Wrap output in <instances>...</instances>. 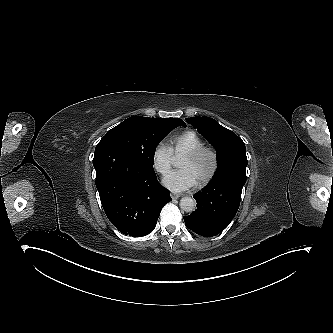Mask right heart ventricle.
<instances>
[{
    "mask_svg": "<svg viewBox=\"0 0 333 333\" xmlns=\"http://www.w3.org/2000/svg\"><path fill=\"white\" fill-rule=\"evenodd\" d=\"M202 147V141L194 132H185L172 143V152L177 160H181L188 153Z\"/></svg>",
    "mask_w": 333,
    "mask_h": 333,
    "instance_id": "obj_1",
    "label": "right heart ventricle"
}]
</instances>
